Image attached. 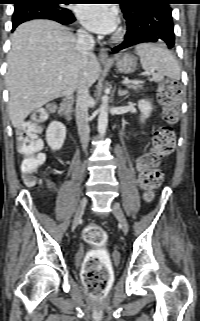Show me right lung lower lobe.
<instances>
[{"instance_id": "obj_1", "label": "right lung lower lobe", "mask_w": 200, "mask_h": 321, "mask_svg": "<svg viewBox=\"0 0 200 321\" xmlns=\"http://www.w3.org/2000/svg\"><path fill=\"white\" fill-rule=\"evenodd\" d=\"M32 19H49L63 25H69L76 21L71 10L56 9L36 0L28 5L15 6L12 16V31L21 23Z\"/></svg>"}]
</instances>
